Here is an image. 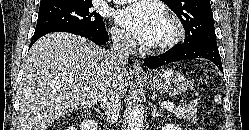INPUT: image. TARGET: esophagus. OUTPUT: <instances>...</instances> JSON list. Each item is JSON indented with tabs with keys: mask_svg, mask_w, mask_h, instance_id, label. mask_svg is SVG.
Instances as JSON below:
<instances>
[{
	"mask_svg": "<svg viewBox=\"0 0 249 130\" xmlns=\"http://www.w3.org/2000/svg\"><path fill=\"white\" fill-rule=\"evenodd\" d=\"M131 71H132V73L134 75H136L138 77H143L144 76L143 69H142L139 61H137V60H134V62L132 63Z\"/></svg>",
	"mask_w": 249,
	"mask_h": 130,
	"instance_id": "1",
	"label": "esophagus"
}]
</instances>
